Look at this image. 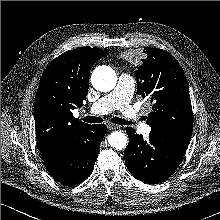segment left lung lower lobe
Segmentation results:
<instances>
[{
    "instance_id": "1",
    "label": "left lung lower lobe",
    "mask_w": 220,
    "mask_h": 220,
    "mask_svg": "<svg viewBox=\"0 0 220 220\" xmlns=\"http://www.w3.org/2000/svg\"><path fill=\"white\" fill-rule=\"evenodd\" d=\"M129 144L124 151L126 165L138 180L157 184L169 178L180 164L188 142L151 131L144 140L128 127Z\"/></svg>"
}]
</instances>
